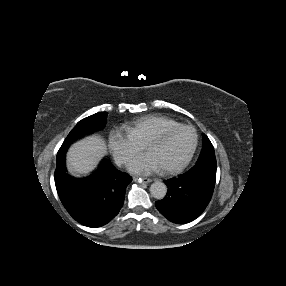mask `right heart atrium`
<instances>
[{"label":"right heart atrium","instance_id":"1","mask_svg":"<svg viewBox=\"0 0 286 286\" xmlns=\"http://www.w3.org/2000/svg\"><path fill=\"white\" fill-rule=\"evenodd\" d=\"M108 146L115 160L127 165L143 148L127 130L114 128L108 134Z\"/></svg>","mask_w":286,"mask_h":286}]
</instances>
